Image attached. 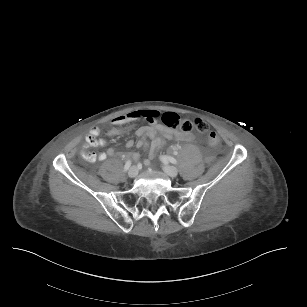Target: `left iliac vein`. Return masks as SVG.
Wrapping results in <instances>:
<instances>
[{"mask_svg": "<svg viewBox=\"0 0 307 307\" xmlns=\"http://www.w3.org/2000/svg\"><path fill=\"white\" fill-rule=\"evenodd\" d=\"M164 171H165V173L168 175V176H170V177H172V178H174V177H176L177 175H178V170H177V168L176 167H174V166H164Z\"/></svg>", "mask_w": 307, "mask_h": 307, "instance_id": "1", "label": "left iliac vein"}]
</instances>
